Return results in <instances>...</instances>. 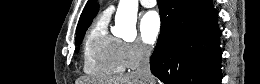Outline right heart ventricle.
<instances>
[{
  "label": "right heart ventricle",
  "instance_id": "1",
  "mask_svg": "<svg viewBox=\"0 0 260 84\" xmlns=\"http://www.w3.org/2000/svg\"><path fill=\"white\" fill-rule=\"evenodd\" d=\"M109 19V13H102L85 39L83 69L91 77L107 78L126 68L121 56V40L108 31Z\"/></svg>",
  "mask_w": 260,
  "mask_h": 84
}]
</instances>
